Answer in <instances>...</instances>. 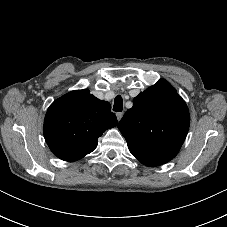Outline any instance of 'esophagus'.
<instances>
[{
	"instance_id": "1",
	"label": "esophagus",
	"mask_w": 227,
	"mask_h": 227,
	"mask_svg": "<svg viewBox=\"0 0 227 227\" xmlns=\"http://www.w3.org/2000/svg\"><path fill=\"white\" fill-rule=\"evenodd\" d=\"M123 114H124L123 112L116 113V117H117L118 121H120L122 119Z\"/></svg>"
}]
</instances>
